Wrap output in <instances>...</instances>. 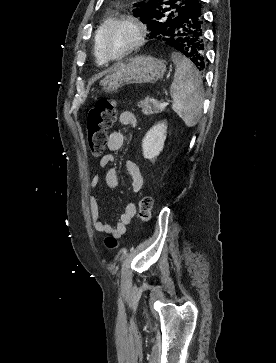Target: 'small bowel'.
<instances>
[{"label": "small bowel", "instance_id": "small-bowel-1", "mask_svg": "<svg viewBox=\"0 0 276 363\" xmlns=\"http://www.w3.org/2000/svg\"><path fill=\"white\" fill-rule=\"evenodd\" d=\"M118 122L122 126H129L132 128L137 127V118L135 114L131 111H122L118 116ZM123 143H124L123 134L120 131H113L108 137L107 146L110 151L115 152L122 148ZM114 161L115 158L111 154L104 156L100 161V166L102 168L108 167L105 172V183L109 188H116L119 183L117 168L111 166L114 163ZM125 167L131 178V185L133 191L140 192L143 188V178L139 167L131 159L126 160ZM99 181L100 177L98 174H96L92 178L90 183L91 192L89 194V205H90L93 228L98 232L111 234L114 237L120 238L126 233L128 225L131 223L132 219L136 215L137 212L136 205L132 202L127 203L115 226H112L102 221L98 197L94 192V189L99 184Z\"/></svg>", "mask_w": 276, "mask_h": 363}]
</instances>
